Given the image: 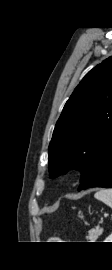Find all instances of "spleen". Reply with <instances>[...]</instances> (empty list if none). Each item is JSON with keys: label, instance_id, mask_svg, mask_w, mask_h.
<instances>
[{"label": "spleen", "instance_id": "1", "mask_svg": "<svg viewBox=\"0 0 112 270\" xmlns=\"http://www.w3.org/2000/svg\"><path fill=\"white\" fill-rule=\"evenodd\" d=\"M95 198L112 208V189H101L95 193Z\"/></svg>", "mask_w": 112, "mask_h": 270}]
</instances>
